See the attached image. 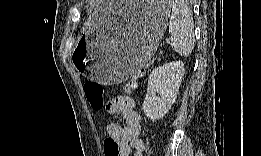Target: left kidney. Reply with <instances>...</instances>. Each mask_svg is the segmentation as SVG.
Segmentation results:
<instances>
[{
	"label": "left kidney",
	"mask_w": 261,
	"mask_h": 156,
	"mask_svg": "<svg viewBox=\"0 0 261 156\" xmlns=\"http://www.w3.org/2000/svg\"><path fill=\"white\" fill-rule=\"evenodd\" d=\"M184 71V63L174 61L151 72L143 103V111L150 120H159L169 111L177 97Z\"/></svg>",
	"instance_id": "obj_1"
}]
</instances>
